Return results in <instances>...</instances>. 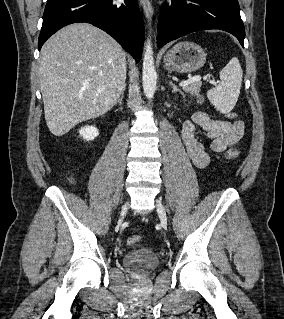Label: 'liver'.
<instances>
[{"mask_svg":"<svg viewBox=\"0 0 284 319\" xmlns=\"http://www.w3.org/2000/svg\"><path fill=\"white\" fill-rule=\"evenodd\" d=\"M39 76L46 124L62 136L117 103L126 80V53L99 28L75 23L43 45Z\"/></svg>","mask_w":284,"mask_h":319,"instance_id":"obj_1","label":"liver"}]
</instances>
